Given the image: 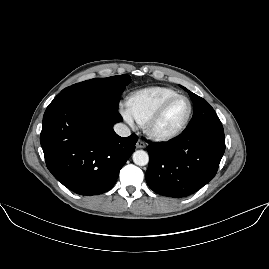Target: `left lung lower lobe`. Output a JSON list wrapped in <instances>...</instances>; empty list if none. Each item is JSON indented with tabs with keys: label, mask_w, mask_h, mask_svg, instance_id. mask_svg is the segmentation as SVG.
I'll use <instances>...</instances> for the list:
<instances>
[{
	"label": "left lung lower lobe",
	"mask_w": 269,
	"mask_h": 269,
	"mask_svg": "<svg viewBox=\"0 0 269 269\" xmlns=\"http://www.w3.org/2000/svg\"><path fill=\"white\" fill-rule=\"evenodd\" d=\"M146 181L156 193L173 198L191 195L217 173L225 151L222 125L184 133L169 142H148Z\"/></svg>",
	"instance_id": "obj_1"
}]
</instances>
